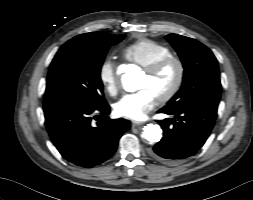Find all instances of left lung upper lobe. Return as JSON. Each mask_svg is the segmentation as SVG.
Listing matches in <instances>:
<instances>
[{"instance_id": "1", "label": "left lung upper lobe", "mask_w": 253, "mask_h": 200, "mask_svg": "<svg viewBox=\"0 0 253 200\" xmlns=\"http://www.w3.org/2000/svg\"><path fill=\"white\" fill-rule=\"evenodd\" d=\"M166 39L182 60L184 77L181 89L164 107L176 110L199 104L218 106L221 83L213 53L202 43L185 36L169 34Z\"/></svg>"}]
</instances>
